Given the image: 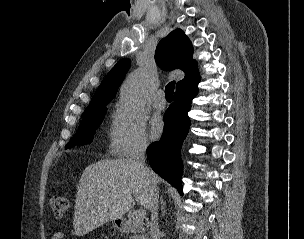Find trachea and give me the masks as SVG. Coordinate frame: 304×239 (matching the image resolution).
I'll list each match as a JSON object with an SVG mask.
<instances>
[{"label": "trachea", "mask_w": 304, "mask_h": 239, "mask_svg": "<svg viewBox=\"0 0 304 239\" xmlns=\"http://www.w3.org/2000/svg\"><path fill=\"white\" fill-rule=\"evenodd\" d=\"M174 88H175V82L172 81L168 83L165 87V97L167 100H172L173 99V93H174Z\"/></svg>", "instance_id": "1"}]
</instances>
